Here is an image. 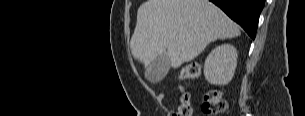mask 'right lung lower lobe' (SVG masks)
I'll return each mask as SVG.
<instances>
[{"mask_svg":"<svg viewBox=\"0 0 305 116\" xmlns=\"http://www.w3.org/2000/svg\"><path fill=\"white\" fill-rule=\"evenodd\" d=\"M219 6L231 19L237 22L254 39L259 15L265 0H210Z\"/></svg>","mask_w":305,"mask_h":116,"instance_id":"obj_1","label":"right lung lower lobe"}]
</instances>
